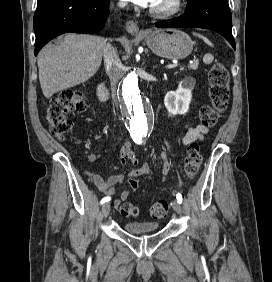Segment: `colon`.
Returning <instances> with one entry per match:
<instances>
[{
	"label": "colon",
	"instance_id": "colon-1",
	"mask_svg": "<svg viewBox=\"0 0 272 282\" xmlns=\"http://www.w3.org/2000/svg\"><path fill=\"white\" fill-rule=\"evenodd\" d=\"M229 73L223 64L214 63L209 70V95L211 104L200 109V122L207 127L214 126L227 109L230 98ZM86 105L82 94L63 93L52 98L46 109V121L49 124L51 134L58 140H64L73 131V123L67 118L71 112H83ZM202 158L200 147L197 143H191L187 148L184 159V170L188 178H193L199 171ZM135 177L129 178V184H136ZM166 201H158L151 207V215L154 218H164L168 211ZM123 216L134 217L139 214L136 206L129 202H123L119 207Z\"/></svg>",
	"mask_w": 272,
	"mask_h": 282
}]
</instances>
